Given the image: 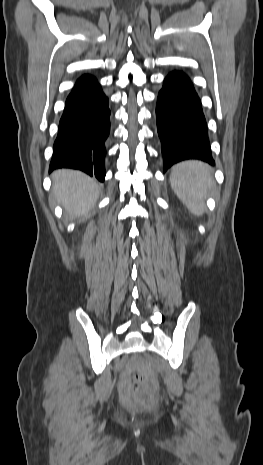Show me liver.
<instances>
[{"label": "liver", "mask_w": 263, "mask_h": 465, "mask_svg": "<svg viewBox=\"0 0 263 465\" xmlns=\"http://www.w3.org/2000/svg\"><path fill=\"white\" fill-rule=\"evenodd\" d=\"M53 196L71 218L87 215L95 206L99 186L88 175L74 170L61 169L52 174Z\"/></svg>", "instance_id": "obj_1"}]
</instances>
